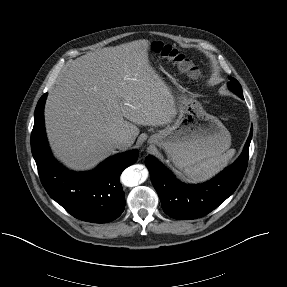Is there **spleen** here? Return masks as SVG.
<instances>
[{
    "label": "spleen",
    "mask_w": 287,
    "mask_h": 287,
    "mask_svg": "<svg viewBox=\"0 0 287 287\" xmlns=\"http://www.w3.org/2000/svg\"><path fill=\"white\" fill-rule=\"evenodd\" d=\"M235 154V149H230L223 155L207 159L194 166L185 168V174L194 182H204L218 174Z\"/></svg>",
    "instance_id": "spleen-1"
}]
</instances>
